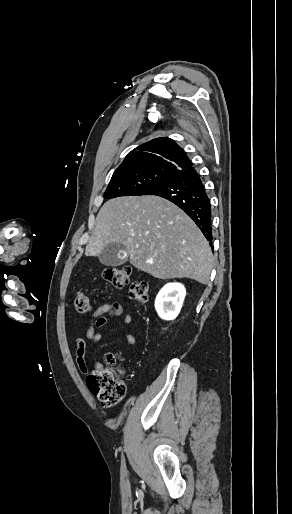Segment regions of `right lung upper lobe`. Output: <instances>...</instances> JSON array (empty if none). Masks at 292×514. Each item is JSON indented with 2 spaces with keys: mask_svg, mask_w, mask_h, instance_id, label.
<instances>
[{
  "mask_svg": "<svg viewBox=\"0 0 292 514\" xmlns=\"http://www.w3.org/2000/svg\"><path fill=\"white\" fill-rule=\"evenodd\" d=\"M192 167L186 153L172 139L161 137L146 142L129 152L113 173L165 172L170 175Z\"/></svg>",
  "mask_w": 292,
  "mask_h": 514,
  "instance_id": "1",
  "label": "right lung upper lobe"
}]
</instances>
